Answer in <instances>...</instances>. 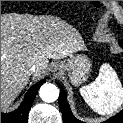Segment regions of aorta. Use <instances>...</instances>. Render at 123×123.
Masks as SVG:
<instances>
[{
    "label": "aorta",
    "instance_id": "762f6f07",
    "mask_svg": "<svg viewBox=\"0 0 123 123\" xmlns=\"http://www.w3.org/2000/svg\"><path fill=\"white\" fill-rule=\"evenodd\" d=\"M40 98L47 103L54 102L59 96V90L54 84L45 83L39 90Z\"/></svg>",
    "mask_w": 123,
    "mask_h": 123
}]
</instances>
